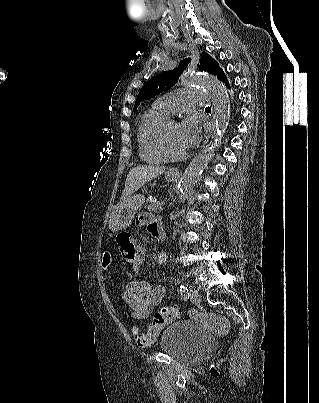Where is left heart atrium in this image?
<instances>
[{
  "instance_id": "obj_1",
  "label": "left heart atrium",
  "mask_w": 319,
  "mask_h": 403,
  "mask_svg": "<svg viewBox=\"0 0 319 403\" xmlns=\"http://www.w3.org/2000/svg\"><path fill=\"white\" fill-rule=\"evenodd\" d=\"M179 136L186 150L197 144L200 136V122L194 115L188 116L180 123Z\"/></svg>"
}]
</instances>
